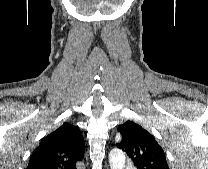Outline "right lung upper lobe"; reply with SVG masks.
Segmentation results:
<instances>
[{
	"mask_svg": "<svg viewBox=\"0 0 208 169\" xmlns=\"http://www.w3.org/2000/svg\"><path fill=\"white\" fill-rule=\"evenodd\" d=\"M85 142L78 126L65 122L46 136L31 155L27 169H76Z\"/></svg>",
	"mask_w": 208,
	"mask_h": 169,
	"instance_id": "1",
	"label": "right lung upper lobe"
}]
</instances>
